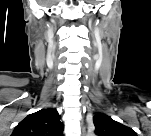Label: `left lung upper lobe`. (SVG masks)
<instances>
[{"mask_svg":"<svg viewBox=\"0 0 151 136\" xmlns=\"http://www.w3.org/2000/svg\"><path fill=\"white\" fill-rule=\"evenodd\" d=\"M93 122L98 136H136L131 128L102 113L95 115Z\"/></svg>","mask_w":151,"mask_h":136,"instance_id":"obj_1","label":"left lung upper lobe"}]
</instances>
